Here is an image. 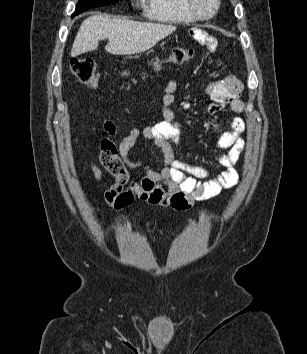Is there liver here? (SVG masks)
Returning <instances> with one entry per match:
<instances>
[{"mask_svg": "<svg viewBox=\"0 0 307 354\" xmlns=\"http://www.w3.org/2000/svg\"><path fill=\"white\" fill-rule=\"evenodd\" d=\"M176 30L175 26L110 18L96 14L81 24L75 37L71 56L76 57L98 48L108 38L105 50L113 55H132L149 50Z\"/></svg>", "mask_w": 307, "mask_h": 354, "instance_id": "obj_1", "label": "liver"}]
</instances>
